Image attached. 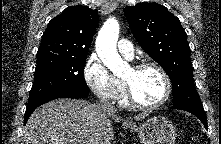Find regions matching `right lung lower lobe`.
<instances>
[{
  "instance_id": "1",
  "label": "right lung lower lobe",
  "mask_w": 221,
  "mask_h": 144,
  "mask_svg": "<svg viewBox=\"0 0 221 144\" xmlns=\"http://www.w3.org/2000/svg\"><path fill=\"white\" fill-rule=\"evenodd\" d=\"M89 94V92L86 91H79V90H74V89H66V90H59L52 92L51 94L41 98L38 102L31 106L26 107V112H25V117H24V124L27 122L28 118L32 114V112L40 105L49 102L54 99L58 98H83L86 97Z\"/></svg>"
}]
</instances>
